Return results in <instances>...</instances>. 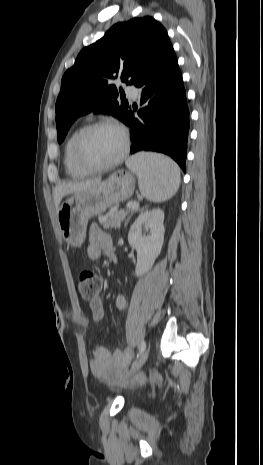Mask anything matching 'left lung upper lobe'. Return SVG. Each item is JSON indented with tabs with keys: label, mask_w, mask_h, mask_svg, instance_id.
Here are the masks:
<instances>
[{
	"label": "left lung upper lobe",
	"mask_w": 263,
	"mask_h": 465,
	"mask_svg": "<svg viewBox=\"0 0 263 465\" xmlns=\"http://www.w3.org/2000/svg\"><path fill=\"white\" fill-rule=\"evenodd\" d=\"M167 43L165 28L146 16L113 25L100 40L85 47L62 78L56 101L58 142L79 116L91 111L112 114L124 122L129 105L116 101L118 90L112 81L120 78L134 85Z\"/></svg>",
	"instance_id": "left-lung-upper-lobe-1"
}]
</instances>
